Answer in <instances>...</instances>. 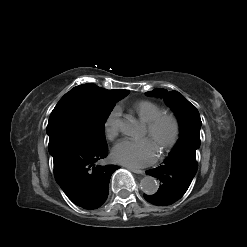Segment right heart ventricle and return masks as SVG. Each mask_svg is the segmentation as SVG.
Instances as JSON below:
<instances>
[{
    "label": "right heart ventricle",
    "mask_w": 247,
    "mask_h": 247,
    "mask_svg": "<svg viewBox=\"0 0 247 247\" xmlns=\"http://www.w3.org/2000/svg\"><path fill=\"white\" fill-rule=\"evenodd\" d=\"M134 109L139 116V118L148 123L155 117L163 113L162 107L154 101L151 100H140L134 104Z\"/></svg>",
    "instance_id": "e07e8e85"
}]
</instances>
